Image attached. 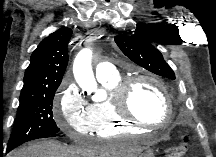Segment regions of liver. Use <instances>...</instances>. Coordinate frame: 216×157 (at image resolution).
<instances>
[{
    "mask_svg": "<svg viewBox=\"0 0 216 157\" xmlns=\"http://www.w3.org/2000/svg\"><path fill=\"white\" fill-rule=\"evenodd\" d=\"M142 150V147L127 142L68 147L56 141H42L14 150L9 157H137Z\"/></svg>",
    "mask_w": 216,
    "mask_h": 157,
    "instance_id": "obj_1",
    "label": "liver"
}]
</instances>
